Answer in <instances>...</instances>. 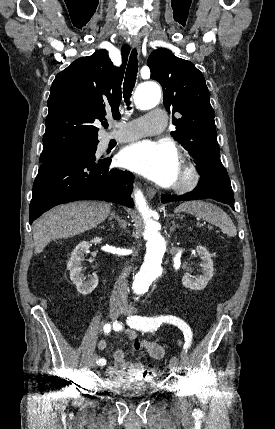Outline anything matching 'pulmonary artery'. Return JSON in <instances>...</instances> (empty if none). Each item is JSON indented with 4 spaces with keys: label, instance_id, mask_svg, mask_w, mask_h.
Masks as SVG:
<instances>
[{
    "label": "pulmonary artery",
    "instance_id": "1",
    "mask_svg": "<svg viewBox=\"0 0 275 429\" xmlns=\"http://www.w3.org/2000/svg\"><path fill=\"white\" fill-rule=\"evenodd\" d=\"M165 122V112L155 109L143 117L123 124L116 134L109 135L106 140L107 142H128L147 135L157 134L162 131Z\"/></svg>",
    "mask_w": 275,
    "mask_h": 429
}]
</instances>
